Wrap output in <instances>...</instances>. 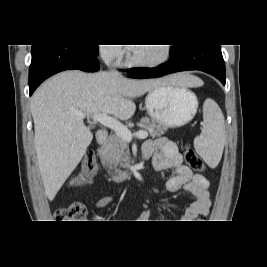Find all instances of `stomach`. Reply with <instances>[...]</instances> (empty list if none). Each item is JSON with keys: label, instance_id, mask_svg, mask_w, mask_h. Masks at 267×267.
<instances>
[{"label": "stomach", "instance_id": "1", "mask_svg": "<svg viewBox=\"0 0 267 267\" xmlns=\"http://www.w3.org/2000/svg\"><path fill=\"white\" fill-rule=\"evenodd\" d=\"M145 105L156 123L170 128L190 122L198 108V99L188 87L166 85L148 92Z\"/></svg>", "mask_w": 267, "mask_h": 267}]
</instances>
